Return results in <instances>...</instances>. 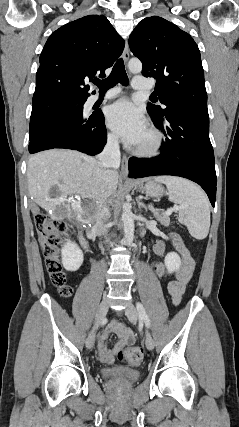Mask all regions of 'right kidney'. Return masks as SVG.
<instances>
[{
	"mask_svg": "<svg viewBox=\"0 0 239 427\" xmlns=\"http://www.w3.org/2000/svg\"><path fill=\"white\" fill-rule=\"evenodd\" d=\"M62 264L67 271H77L83 263V252L75 242L67 240L62 250Z\"/></svg>",
	"mask_w": 239,
	"mask_h": 427,
	"instance_id": "right-kidney-1",
	"label": "right kidney"
}]
</instances>
